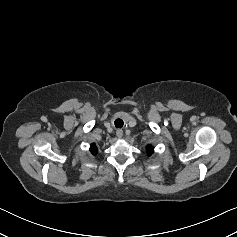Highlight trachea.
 <instances>
[{
    "label": "trachea",
    "instance_id": "trachea-1",
    "mask_svg": "<svg viewBox=\"0 0 237 237\" xmlns=\"http://www.w3.org/2000/svg\"><path fill=\"white\" fill-rule=\"evenodd\" d=\"M114 124H115L116 128H122L123 127V120L122 119H116Z\"/></svg>",
    "mask_w": 237,
    "mask_h": 237
}]
</instances>
